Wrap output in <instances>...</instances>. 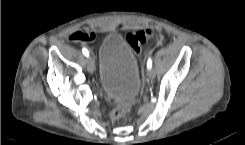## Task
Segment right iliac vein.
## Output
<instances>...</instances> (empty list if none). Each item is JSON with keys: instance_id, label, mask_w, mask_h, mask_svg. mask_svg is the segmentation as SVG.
Listing matches in <instances>:
<instances>
[{"instance_id": "1", "label": "right iliac vein", "mask_w": 245, "mask_h": 145, "mask_svg": "<svg viewBox=\"0 0 245 145\" xmlns=\"http://www.w3.org/2000/svg\"><path fill=\"white\" fill-rule=\"evenodd\" d=\"M87 69L89 71V73L93 74L95 71V63H94V59L92 57H89L87 59Z\"/></svg>"}]
</instances>
